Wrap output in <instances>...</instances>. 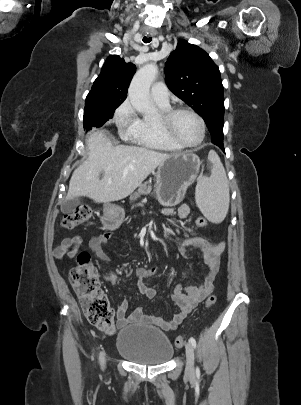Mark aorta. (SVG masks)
Wrapping results in <instances>:
<instances>
[{
    "instance_id": "aorta-1",
    "label": "aorta",
    "mask_w": 301,
    "mask_h": 405,
    "mask_svg": "<svg viewBox=\"0 0 301 405\" xmlns=\"http://www.w3.org/2000/svg\"><path fill=\"white\" fill-rule=\"evenodd\" d=\"M158 74L156 64L148 63L134 75L128 90L132 106L142 114H151L153 107L150 102V87Z\"/></svg>"
}]
</instances>
